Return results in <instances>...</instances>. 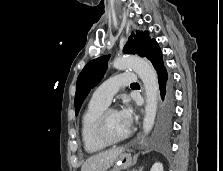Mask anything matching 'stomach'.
<instances>
[{
	"label": "stomach",
	"mask_w": 223,
	"mask_h": 171,
	"mask_svg": "<svg viewBox=\"0 0 223 171\" xmlns=\"http://www.w3.org/2000/svg\"><path fill=\"white\" fill-rule=\"evenodd\" d=\"M132 163V158L128 153H121L116 159L113 169L110 171H120L121 169L128 168Z\"/></svg>",
	"instance_id": "stomach-1"
}]
</instances>
